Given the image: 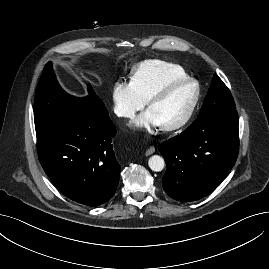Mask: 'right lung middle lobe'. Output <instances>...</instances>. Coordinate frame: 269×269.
Returning <instances> with one entry per match:
<instances>
[{"instance_id": "obj_1", "label": "right lung middle lobe", "mask_w": 269, "mask_h": 269, "mask_svg": "<svg viewBox=\"0 0 269 269\" xmlns=\"http://www.w3.org/2000/svg\"><path fill=\"white\" fill-rule=\"evenodd\" d=\"M88 93L84 98L67 94L58 84L52 67L45 66L35 94L34 121L37 138L70 125L84 111L98 118L108 117L103 101L90 85Z\"/></svg>"}]
</instances>
